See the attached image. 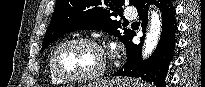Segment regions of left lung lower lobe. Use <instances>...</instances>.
Instances as JSON below:
<instances>
[{
    "label": "left lung lower lobe",
    "mask_w": 205,
    "mask_h": 87,
    "mask_svg": "<svg viewBox=\"0 0 205 87\" xmlns=\"http://www.w3.org/2000/svg\"><path fill=\"white\" fill-rule=\"evenodd\" d=\"M151 3L160 8L162 17V33L156 50L148 60L143 61L141 59L142 43L136 45L132 42L134 33L125 46L126 64L114 75L141 78L156 87H165L168 67L173 59L175 43L177 42L175 37L177 31L176 12L171 0H139L135 7L138 10L144 31L147 25L148 6ZM141 39L144 40V36Z\"/></svg>",
    "instance_id": "0a47b994"
}]
</instances>
